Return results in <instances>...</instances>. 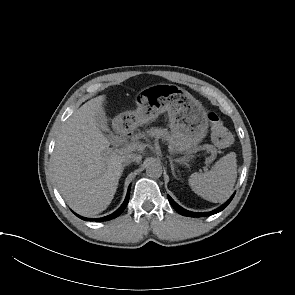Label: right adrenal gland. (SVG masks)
I'll list each match as a JSON object with an SVG mask.
<instances>
[{
	"label": "right adrenal gland",
	"mask_w": 295,
	"mask_h": 295,
	"mask_svg": "<svg viewBox=\"0 0 295 295\" xmlns=\"http://www.w3.org/2000/svg\"><path fill=\"white\" fill-rule=\"evenodd\" d=\"M129 165V163H124L123 165H122V172H123V170H124V167H126V166H128Z\"/></svg>",
	"instance_id": "right-adrenal-gland-1"
}]
</instances>
